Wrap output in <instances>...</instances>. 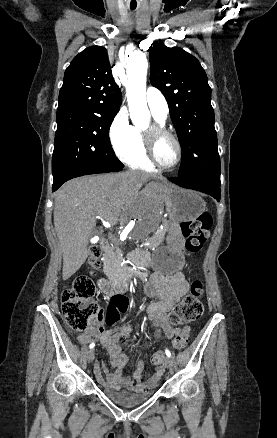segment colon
<instances>
[{"instance_id":"1","label":"colon","mask_w":277,"mask_h":438,"mask_svg":"<svg viewBox=\"0 0 277 438\" xmlns=\"http://www.w3.org/2000/svg\"><path fill=\"white\" fill-rule=\"evenodd\" d=\"M211 216L202 213L196 221L188 220L180 223V229L185 238V249L191 254L199 253L209 235L211 227ZM102 249L95 245L91 247L88 257L89 263L96 267L100 263ZM95 285L89 276L76 277L71 285L66 287L61 296L62 315L74 330H87L99 328L100 320L103 319V309L94 301ZM203 295V282L197 280L191 287L190 293L176 305L171 313V318L180 325H184L200 317L204 312L201 301ZM118 299V298H115ZM189 337V329L184 328L174 338V346L178 349L185 347ZM122 343L126 342L124 335L120 336ZM164 354L157 352L151 358L153 364H161Z\"/></svg>"}]
</instances>
